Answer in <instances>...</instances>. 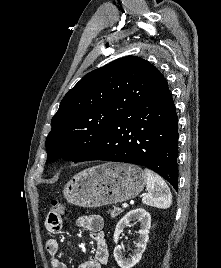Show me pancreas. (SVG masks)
<instances>
[{
  "instance_id": "pancreas-1",
  "label": "pancreas",
  "mask_w": 221,
  "mask_h": 268,
  "mask_svg": "<svg viewBox=\"0 0 221 268\" xmlns=\"http://www.w3.org/2000/svg\"><path fill=\"white\" fill-rule=\"evenodd\" d=\"M122 212H123V209H121L119 207H113V209L108 211V213H110L111 217H113V218L117 217Z\"/></svg>"
}]
</instances>
